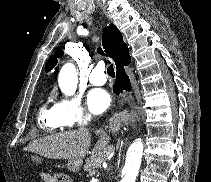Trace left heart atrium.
Listing matches in <instances>:
<instances>
[{
  "mask_svg": "<svg viewBox=\"0 0 211 182\" xmlns=\"http://www.w3.org/2000/svg\"><path fill=\"white\" fill-rule=\"evenodd\" d=\"M110 104V96L101 89L91 90L87 95V105L93 114H100L105 111Z\"/></svg>",
  "mask_w": 211,
  "mask_h": 182,
  "instance_id": "obj_1",
  "label": "left heart atrium"
}]
</instances>
